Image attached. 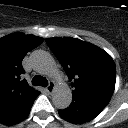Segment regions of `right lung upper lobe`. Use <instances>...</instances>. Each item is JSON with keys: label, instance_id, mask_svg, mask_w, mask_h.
I'll return each mask as SVG.
<instances>
[{"label": "right lung upper lobe", "instance_id": "right-lung-upper-lobe-1", "mask_svg": "<svg viewBox=\"0 0 128 128\" xmlns=\"http://www.w3.org/2000/svg\"><path fill=\"white\" fill-rule=\"evenodd\" d=\"M43 42V38L23 33H13L0 39V115L34 94L26 80L20 77L25 73L22 60L27 52Z\"/></svg>", "mask_w": 128, "mask_h": 128}]
</instances>
